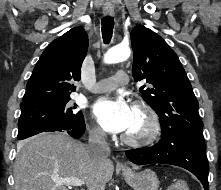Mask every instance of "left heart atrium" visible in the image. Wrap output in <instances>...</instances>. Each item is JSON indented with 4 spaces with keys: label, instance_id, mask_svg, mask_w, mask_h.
<instances>
[{
    "label": "left heart atrium",
    "instance_id": "obj_1",
    "mask_svg": "<svg viewBox=\"0 0 221 190\" xmlns=\"http://www.w3.org/2000/svg\"><path fill=\"white\" fill-rule=\"evenodd\" d=\"M134 108L123 98L102 97L93 105V115L102 128L111 133L126 132L133 119Z\"/></svg>",
    "mask_w": 221,
    "mask_h": 190
}]
</instances>
